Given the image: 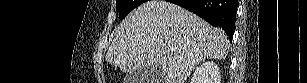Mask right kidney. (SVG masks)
Listing matches in <instances>:
<instances>
[{"instance_id":"1","label":"right kidney","mask_w":307,"mask_h":83,"mask_svg":"<svg viewBox=\"0 0 307 83\" xmlns=\"http://www.w3.org/2000/svg\"><path fill=\"white\" fill-rule=\"evenodd\" d=\"M191 83H221L218 65L213 61L203 62L194 71Z\"/></svg>"}]
</instances>
